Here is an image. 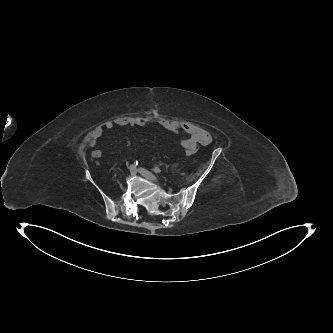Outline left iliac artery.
<instances>
[{
  "label": "left iliac artery",
  "mask_w": 333,
  "mask_h": 333,
  "mask_svg": "<svg viewBox=\"0 0 333 333\" xmlns=\"http://www.w3.org/2000/svg\"><path fill=\"white\" fill-rule=\"evenodd\" d=\"M155 173H160L161 172V169L159 167H153L152 169Z\"/></svg>",
  "instance_id": "obj_1"
}]
</instances>
